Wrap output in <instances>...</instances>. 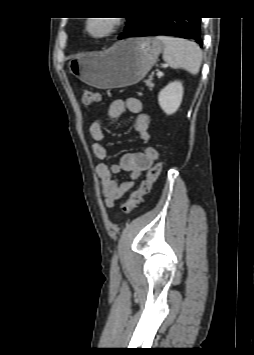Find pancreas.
Instances as JSON below:
<instances>
[{"instance_id":"obj_1","label":"pancreas","mask_w":254,"mask_h":355,"mask_svg":"<svg viewBox=\"0 0 254 355\" xmlns=\"http://www.w3.org/2000/svg\"><path fill=\"white\" fill-rule=\"evenodd\" d=\"M144 82L150 88V90H152L154 84L152 83L151 79L145 80Z\"/></svg>"}]
</instances>
